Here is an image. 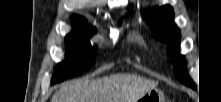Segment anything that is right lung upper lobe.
Instances as JSON below:
<instances>
[{"label": "right lung upper lobe", "instance_id": "cb5924a9", "mask_svg": "<svg viewBox=\"0 0 221 102\" xmlns=\"http://www.w3.org/2000/svg\"><path fill=\"white\" fill-rule=\"evenodd\" d=\"M71 18H72V20H74V21H83V18L80 17V16H77V15H74V16H72Z\"/></svg>", "mask_w": 221, "mask_h": 102}]
</instances>
